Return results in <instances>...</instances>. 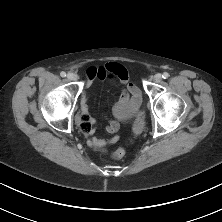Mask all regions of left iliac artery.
<instances>
[{"label": "left iliac artery", "instance_id": "44dca946", "mask_svg": "<svg viewBox=\"0 0 222 222\" xmlns=\"http://www.w3.org/2000/svg\"><path fill=\"white\" fill-rule=\"evenodd\" d=\"M169 76H170V75H169V73H167V72H164V73L162 74V78H163V79H167Z\"/></svg>", "mask_w": 222, "mask_h": 222}]
</instances>
